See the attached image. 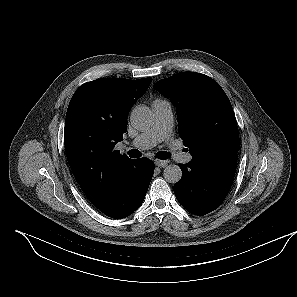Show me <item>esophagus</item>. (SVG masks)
I'll use <instances>...</instances> for the list:
<instances>
[{"label":"esophagus","mask_w":297,"mask_h":297,"mask_svg":"<svg viewBox=\"0 0 297 297\" xmlns=\"http://www.w3.org/2000/svg\"><path fill=\"white\" fill-rule=\"evenodd\" d=\"M169 162H170L169 160H158V159L154 160L155 165L158 167H165L168 165Z\"/></svg>","instance_id":"obj_1"}]
</instances>
